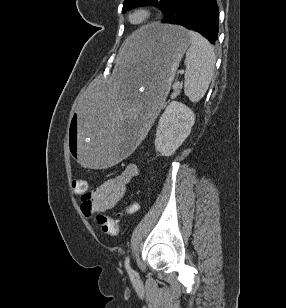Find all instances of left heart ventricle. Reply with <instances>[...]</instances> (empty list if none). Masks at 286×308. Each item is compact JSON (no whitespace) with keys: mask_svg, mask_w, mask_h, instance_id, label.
<instances>
[{"mask_svg":"<svg viewBox=\"0 0 286 308\" xmlns=\"http://www.w3.org/2000/svg\"><path fill=\"white\" fill-rule=\"evenodd\" d=\"M140 18H141L140 15H135V16L133 17V19H134L135 21H138Z\"/></svg>","mask_w":286,"mask_h":308,"instance_id":"left-heart-ventricle-1","label":"left heart ventricle"}]
</instances>
